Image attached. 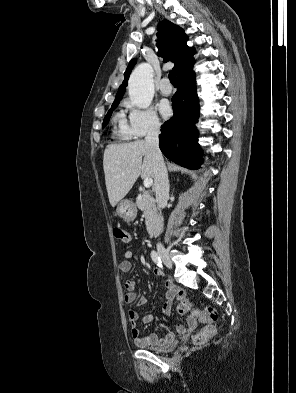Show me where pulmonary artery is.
Returning <instances> with one entry per match:
<instances>
[{
	"label": "pulmonary artery",
	"mask_w": 296,
	"mask_h": 393,
	"mask_svg": "<svg viewBox=\"0 0 296 393\" xmlns=\"http://www.w3.org/2000/svg\"><path fill=\"white\" fill-rule=\"evenodd\" d=\"M159 89L162 94L169 95L172 92V86L167 78H163L159 83Z\"/></svg>",
	"instance_id": "obj_1"
}]
</instances>
